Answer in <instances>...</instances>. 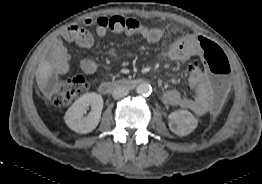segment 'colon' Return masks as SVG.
<instances>
[{"label":"colon","instance_id":"1","mask_svg":"<svg viewBox=\"0 0 262 184\" xmlns=\"http://www.w3.org/2000/svg\"><path fill=\"white\" fill-rule=\"evenodd\" d=\"M96 24L115 35L132 34L141 28L137 20L121 16L98 18ZM199 44L202 50L200 62L208 74L204 80L208 102L212 112L219 114L224 109L229 92L230 63L221 47L214 42L201 38ZM87 88L81 76L63 80L53 91L52 101L57 106L67 105L84 95Z\"/></svg>","mask_w":262,"mask_h":184}]
</instances>
